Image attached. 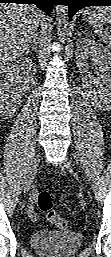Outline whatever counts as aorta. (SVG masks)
I'll return each mask as SVG.
<instances>
[{
  "label": "aorta",
  "instance_id": "aorta-1",
  "mask_svg": "<svg viewBox=\"0 0 111 257\" xmlns=\"http://www.w3.org/2000/svg\"><path fill=\"white\" fill-rule=\"evenodd\" d=\"M56 15L58 24L61 26H66L68 22V6L58 5L56 8Z\"/></svg>",
  "mask_w": 111,
  "mask_h": 257
}]
</instances>
